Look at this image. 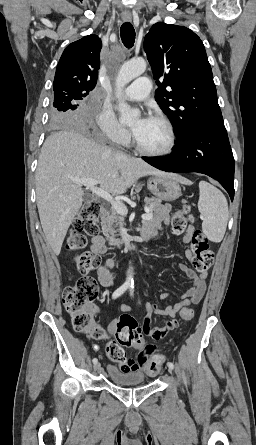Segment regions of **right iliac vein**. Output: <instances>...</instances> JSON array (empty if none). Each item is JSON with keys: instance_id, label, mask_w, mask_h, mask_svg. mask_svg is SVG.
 <instances>
[{"instance_id": "right-iliac-vein-1", "label": "right iliac vein", "mask_w": 256, "mask_h": 445, "mask_svg": "<svg viewBox=\"0 0 256 445\" xmlns=\"http://www.w3.org/2000/svg\"><path fill=\"white\" fill-rule=\"evenodd\" d=\"M100 368H101V364H100V362H96V363L94 364V370H95V371H99Z\"/></svg>"}]
</instances>
